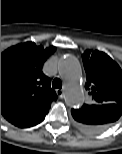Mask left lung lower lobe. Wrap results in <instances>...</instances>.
Returning <instances> with one entry per match:
<instances>
[{
    "label": "left lung lower lobe",
    "instance_id": "obj_1",
    "mask_svg": "<svg viewBox=\"0 0 122 154\" xmlns=\"http://www.w3.org/2000/svg\"><path fill=\"white\" fill-rule=\"evenodd\" d=\"M121 114L122 104H84L77 111L75 124L86 132H100L117 121Z\"/></svg>",
    "mask_w": 122,
    "mask_h": 154
}]
</instances>
